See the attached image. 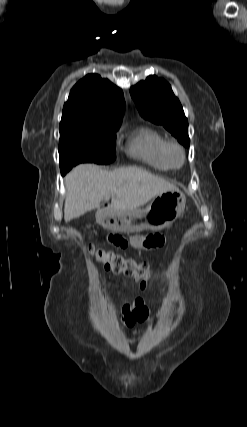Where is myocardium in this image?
Returning a JSON list of instances; mask_svg holds the SVG:
<instances>
[{
  "label": "myocardium",
  "instance_id": "f54148a6",
  "mask_svg": "<svg viewBox=\"0 0 247 427\" xmlns=\"http://www.w3.org/2000/svg\"><path fill=\"white\" fill-rule=\"evenodd\" d=\"M166 154L169 162L173 167L181 166L185 161V151L177 142H168Z\"/></svg>",
  "mask_w": 247,
  "mask_h": 427
}]
</instances>
